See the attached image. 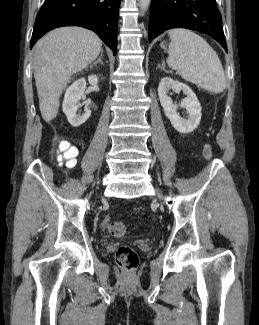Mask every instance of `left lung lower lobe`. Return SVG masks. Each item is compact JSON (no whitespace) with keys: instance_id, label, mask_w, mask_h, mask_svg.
I'll return each mask as SVG.
<instances>
[{"instance_id":"0a47b994","label":"left lung lower lobe","mask_w":259,"mask_h":325,"mask_svg":"<svg viewBox=\"0 0 259 325\" xmlns=\"http://www.w3.org/2000/svg\"><path fill=\"white\" fill-rule=\"evenodd\" d=\"M216 0H152L149 41L172 28H187L205 33L227 51Z\"/></svg>"}]
</instances>
